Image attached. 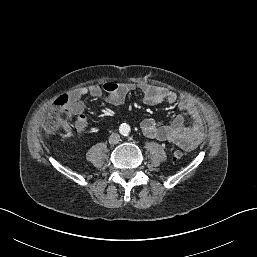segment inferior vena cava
<instances>
[{"mask_svg": "<svg viewBox=\"0 0 257 257\" xmlns=\"http://www.w3.org/2000/svg\"><path fill=\"white\" fill-rule=\"evenodd\" d=\"M120 140V135L118 133H112L110 135L109 141L112 144H116Z\"/></svg>", "mask_w": 257, "mask_h": 257, "instance_id": "1", "label": "inferior vena cava"}]
</instances>
